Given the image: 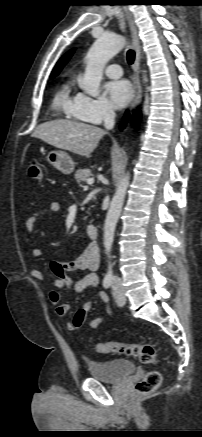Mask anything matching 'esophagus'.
Returning <instances> with one entry per match:
<instances>
[{
  "instance_id": "esophagus-1",
  "label": "esophagus",
  "mask_w": 202,
  "mask_h": 437,
  "mask_svg": "<svg viewBox=\"0 0 202 437\" xmlns=\"http://www.w3.org/2000/svg\"><path fill=\"white\" fill-rule=\"evenodd\" d=\"M126 16L128 19V23L130 26L131 36H132V45L135 50V61L133 64V85L135 90V96L133 99V102L131 104V109L137 106L141 102L142 98V90L140 85V78H139V72H140V61H141V46H140V39L138 36V30L137 27L133 21V17L131 12L125 8Z\"/></svg>"
}]
</instances>
